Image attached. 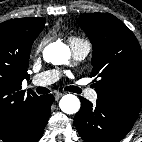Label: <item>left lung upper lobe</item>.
<instances>
[{
  "mask_svg": "<svg viewBox=\"0 0 142 142\" xmlns=\"http://www.w3.org/2000/svg\"><path fill=\"white\" fill-rule=\"evenodd\" d=\"M93 45L91 77L97 76L98 100L136 119L142 105V54L133 32L109 13L78 19Z\"/></svg>",
  "mask_w": 142,
  "mask_h": 142,
  "instance_id": "obj_1",
  "label": "left lung upper lobe"
}]
</instances>
